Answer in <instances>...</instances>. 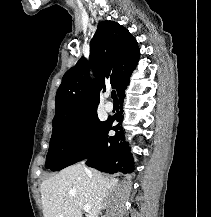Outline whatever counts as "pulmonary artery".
<instances>
[{"instance_id": "1", "label": "pulmonary artery", "mask_w": 211, "mask_h": 217, "mask_svg": "<svg viewBox=\"0 0 211 217\" xmlns=\"http://www.w3.org/2000/svg\"><path fill=\"white\" fill-rule=\"evenodd\" d=\"M106 96L109 97L110 94L107 93ZM104 107H105V110H106L107 112H112L113 109H114V105H113V103L110 102V101H107V102L105 103Z\"/></svg>"}]
</instances>
